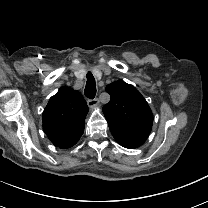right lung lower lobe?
Masks as SVG:
<instances>
[{"mask_svg": "<svg viewBox=\"0 0 208 208\" xmlns=\"http://www.w3.org/2000/svg\"><path fill=\"white\" fill-rule=\"evenodd\" d=\"M78 140H79V139H78ZM78 140H76V141H74V142H72V143H70V144L64 145V146H62L61 148H62V149L70 148V147H72L73 145H75V144L77 143Z\"/></svg>", "mask_w": 208, "mask_h": 208, "instance_id": "obj_1", "label": "right lung lower lobe"}]
</instances>
